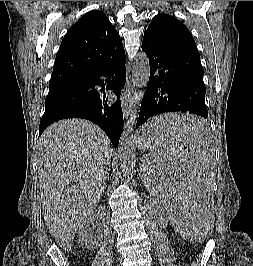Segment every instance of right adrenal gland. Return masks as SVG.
<instances>
[{
    "mask_svg": "<svg viewBox=\"0 0 253 266\" xmlns=\"http://www.w3.org/2000/svg\"><path fill=\"white\" fill-rule=\"evenodd\" d=\"M107 180H109V176L108 175L106 176V180H105L104 186H106Z\"/></svg>",
    "mask_w": 253,
    "mask_h": 266,
    "instance_id": "2a0ac1e0",
    "label": "right adrenal gland"
}]
</instances>
